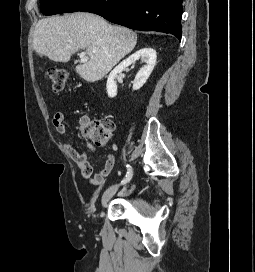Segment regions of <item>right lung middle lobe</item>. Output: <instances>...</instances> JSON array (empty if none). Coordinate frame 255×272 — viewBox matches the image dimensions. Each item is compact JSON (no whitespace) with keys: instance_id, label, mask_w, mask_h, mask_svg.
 I'll list each match as a JSON object with an SVG mask.
<instances>
[{"instance_id":"dd1d6c3e","label":"right lung middle lobe","mask_w":255,"mask_h":272,"mask_svg":"<svg viewBox=\"0 0 255 272\" xmlns=\"http://www.w3.org/2000/svg\"><path fill=\"white\" fill-rule=\"evenodd\" d=\"M94 0H40L41 12L44 15L77 12Z\"/></svg>"}]
</instances>
